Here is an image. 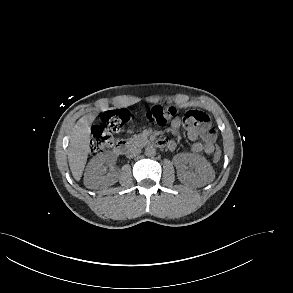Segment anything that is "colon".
<instances>
[{
    "label": "colon",
    "instance_id": "colon-1",
    "mask_svg": "<svg viewBox=\"0 0 293 293\" xmlns=\"http://www.w3.org/2000/svg\"><path fill=\"white\" fill-rule=\"evenodd\" d=\"M175 114L176 109L174 107L155 105L146 111L145 116L150 122L156 125H164ZM127 118L128 113L125 110L106 111L101 117V122L92 127L90 141L91 152L97 153L109 148L113 143L114 133L120 130V127ZM197 119L198 113L196 111H188L184 115L186 124ZM221 155L222 151L220 147H217L213 156L214 162H218Z\"/></svg>",
    "mask_w": 293,
    "mask_h": 293
}]
</instances>
